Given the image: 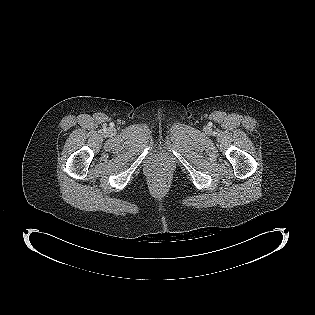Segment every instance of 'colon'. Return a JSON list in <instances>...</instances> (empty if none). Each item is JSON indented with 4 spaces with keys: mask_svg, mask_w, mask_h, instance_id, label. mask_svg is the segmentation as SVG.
<instances>
[{
    "mask_svg": "<svg viewBox=\"0 0 315 315\" xmlns=\"http://www.w3.org/2000/svg\"><path fill=\"white\" fill-rule=\"evenodd\" d=\"M159 176H160V177H165V173H164V172H161V173L159 174Z\"/></svg>",
    "mask_w": 315,
    "mask_h": 315,
    "instance_id": "colon-1",
    "label": "colon"
}]
</instances>
